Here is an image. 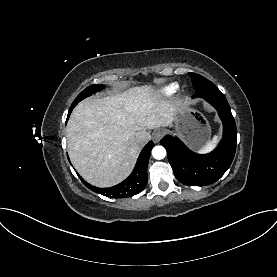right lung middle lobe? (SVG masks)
I'll return each mask as SVG.
<instances>
[{"label": "right lung middle lobe", "mask_w": 277, "mask_h": 277, "mask_svg": "<svg viewBox=\"0 0 277 277\" xmlns=\"http://www.w3.org/2000/svg\"><path fill=\"white\" fill-rule=\"evenodd\" d=\"M104 86L103 85H91L89 87H87L85 90H83L78 96L77 98L73 101L70 109H69V112H68V118L73 110V108L81 101L83 100L84 98L100 91Z\"/></svg>", "instance_id": "1"}]
</instances>
